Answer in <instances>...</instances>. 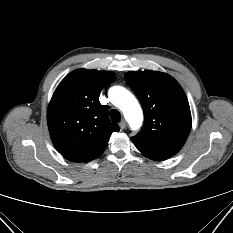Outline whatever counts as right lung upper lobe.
<instances>
[{
	"mask_svg": "<svg viewBox=\"0 0 233 233\" xmlns=\"http://www.w3.org/2000/svg\"><path fill=\"white\" fill-rule=\"evenodd\" d=\"M114 79L108 71L77 69L58 85L47 111L51 139L57 151L72 162H89L107 147L110 135L119 131L108 118L100 91Z\"/></svg>",
	"mask_w": 233,
	"mask_h": 233,
	"instance_id": "cb5924a9",
	"label": "right lung upper lobe"
}]
</instances>
